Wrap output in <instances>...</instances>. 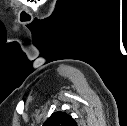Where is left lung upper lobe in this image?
Listing matches in <instances>:
<instances>
[{"label":"left lung upper lobe","mask_w":127,"mask_h":126,"mask_svg":"<svg viewBox=\"0 0 127 126\" xmlns=\"http://www.w3.org/2000/svg\"><path fill=\"white\" fill-rule=\"evenodd\" d=\"M43 126H77L75 120L65 112H54Z\"/></svg>","instance_id":"1"}]
</instances>
